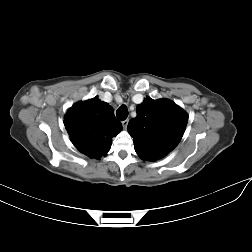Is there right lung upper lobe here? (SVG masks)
<instances>
[{"label": "right lung upper lobe", "mask_w": 252, "mask_h": 252, "mask_svg": "<svg viewBox=\"0 0 252 252\" xmlns=\"http://www.w3.org/2000/svg\"><path fill=\"white\" fill-rule=\"evenodd\" d=\"M64 125L73 145L97 159L110 150L112 138L122 130L113 108L97 96L74 104L65 115Z\"/></svg>", "instance_id": "1"}]
</instances>
